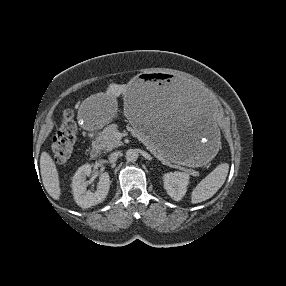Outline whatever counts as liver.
I'll use <instances>...</instances> for the list:
<instances>
[{"instance_id": "6515ba94", "label": "liver", "mask_w": 286, "mask_h": 286, "mask_svg": "<svg viewBox=\"0 0 286 286\" xmlns=\"http://www.w3.org/2000/svg\"><path fill=\"white\" fill-rule=\"evenodd\" d=\"M128 85H114L106 90L103 97L115 100L125 94ZM40 172L47 193L55 200L60 199L61 189L56 164L49 153L42 152L40 156Z\"/></svg>"}]
</instances>
